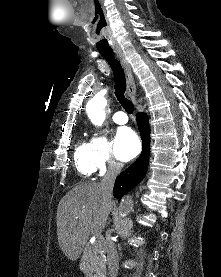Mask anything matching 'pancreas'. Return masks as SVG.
Here are the masks:
<instances>
[{
  "label": "pancreas",
  "instance_id": "obj_1",
  "mask_svg": "<svg viewBox=\"0 0 221 277\" xmlns=\"http://www.w3.org/2000/svg\"><path fill=\"white\" fill-rule=\"evenodd\" d=\"M104 244L96 242L92 248H88L80 261V269L87 277H106V266L101 253Z\"/></svg>",
  "mask_w": 221,
  "mask_h": 277
}]
</instances>
